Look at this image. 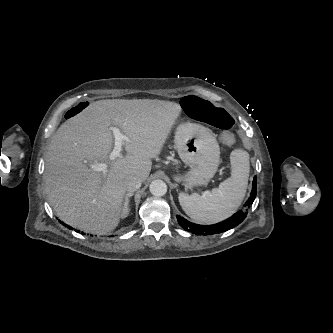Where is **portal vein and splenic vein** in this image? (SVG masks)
Instances as JSON below:
<instances>
[{"label": "portal vein and splenic vein", "instance_id": "1", "mask_svg": "<svg viewBox=\"0 0 333 333\" xmlns=\"http://www.w3.org/2000/svg\"><path fill=\"white\" fill-rule=\"evenodd\" d=\"M111 130L115 139L114 148L109 155V159L115 160L117 157L120 156L124 142H129L130 139L125 134L121 133L118 127H111ZM89 167L94 171L102 172L104 176L106 175L108 169V165L106 163L99 162L91 163L89 164Z\"/></svg>", "mask_w": 333, "mask_h": 333}]
</instances>
